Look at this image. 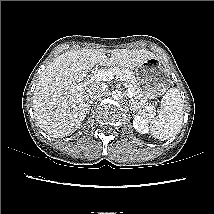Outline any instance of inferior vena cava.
Here are the masks:
<instances>
[{"mask_svg":"<svg viewBox=\"0 0 214 214\" xmlns=\"http://www.w3.org/2000/svg\"><path fill=\"white\" fill-rule=\"evenodd\" d=\"M106 94H108V86L105 83L95 85L89 91V97L92 101L100 99L102 96Z\"/></svg>","mask_w":214,"mask_h":214,"instance_id":"inferior-vena-cava-1","label":"inferior vena cava"}]
</instances>
